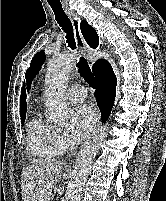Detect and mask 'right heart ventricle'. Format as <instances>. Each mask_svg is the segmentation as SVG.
<instances>
[{
	"mask_svg": "<svg viewBox=\"0 0 166 201\" xmlns=\"http://www.w3.org/2000/svg\"><path fill=\"white\" fill-rule=\"evenodd\" d=\"M57 128L40 115L34 116L28 124L27 150L35 162H46L62 154L57 142Z\"/></svg>",
	"mask_w": 166,
	"mask_h": 201,
	"instance_id": "obj_1",
	"label": "right heart ventricle"
}]
</instances>
